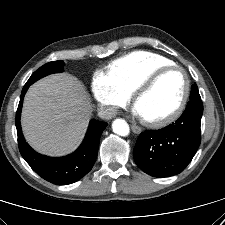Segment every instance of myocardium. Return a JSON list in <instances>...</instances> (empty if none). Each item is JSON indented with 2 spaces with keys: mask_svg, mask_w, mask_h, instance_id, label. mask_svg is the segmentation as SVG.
I'll use <instances>...</instances> for the list:
<instances>
[{
  "mask_svg": "<svg viewBox=\"0 0 225 225\" xmlns=\"http://www.w3.org/2000/svg\"><path fill=\"white\" fill-rule=\"evenodd\" d=\"M171 70H179L183 74L184 90L182 97L177 106L174 108V110H172L169 114L158 119L141 118L142 123L148 127L159 128L172 123L183 113L187 105L190 95V79L187 71L182 66L177 64L164 66L148 75L133 92L132 94L133 105L134 106L136 105L139 98L142 97L145 93H147L161 76H163L164 74H166Z\"/></svg>",
  "mask_w": 225,
  "mask_h": 225,
  "instance_id": "1",
  "label": "myocardium"
}]
</instances>
